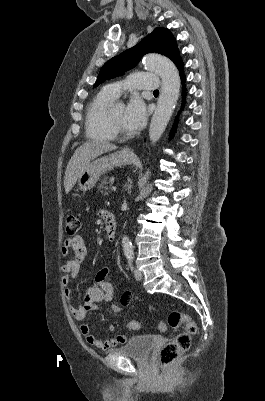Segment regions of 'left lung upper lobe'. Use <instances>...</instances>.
Masks as SVG:
<instances>
[{
	"label": "left lung upper lobe",
	"instance_id": "left-lung-upper-lobe-1",
	"mask_svg": "<svg viewBox=\"0 0 265 401\" xmlns=\"http://www.w3.org/2000/svg\"><path fill=\"white\" fill-rule=\"evenodd\" d=\"M150 52L165 55L176 65L181 62L176 41L171 32L166 28L159 27L136 46L107 61L101 68L94 87L107 79L122 75L126 70L136 66L143 55Z\"/></svg>",
	"mask_w": 265,
	"mask_h": 401
}]
</instances>
